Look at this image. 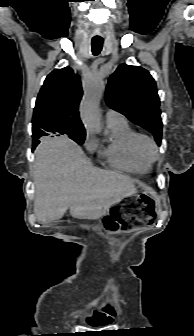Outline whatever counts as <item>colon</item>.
<instances>
[{
  "instance_id": "5ec220e1",
  "label": "colon",
  "mask_w": 194,
  "mask_h": 336,
  "mask_svg": "<svg viewBox=\"0 0 194 336\" xmlns=\"http://www.w3.org/2000/svg\"><path fill=\"white\" fill-rule=\"evenodd\" d=\"M141 212L150 216L154 214L153 201L146 194L124 200L120 207L115 208L110 215L104 218V225L112 231L140 225L143 223L139 216Z\"/></svg>"
}]
</instances>
